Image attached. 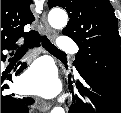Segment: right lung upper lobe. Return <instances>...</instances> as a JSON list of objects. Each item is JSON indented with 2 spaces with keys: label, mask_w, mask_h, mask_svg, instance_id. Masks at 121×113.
Segmentation results:
<instances>
[{
  "label": "right lung upper lobe",
  "mask_w": 121,
  "mask_h": 113,
  "mask_svg": "<svg viewBox=\"0 0 121 113\" xmlns=\"http://www.w3.org/2000/svg\"><path fill=\"white\" fill-rule=\"evenodd\" d=\"M30 4L31 0H1V49L15 45L21 37L27 39L37 33L23 30L35 19Z\"/></svg>",
  "instance_id": "right-lung-upper-lobe-1"
}]
</instances>
